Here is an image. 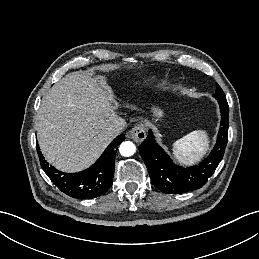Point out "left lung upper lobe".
<instances>
[{"instance_id":"obj_1","label":"left lung upper lobe","mask_w":259,"mask_h":259,"mask_svg":"<svg viewBox=\"0 0 259 259\" xmlns=\"http://www.w3.org/2000/svg\"><path fill=\"white\" fill-rule=\"evenodd\" d=\"M214 97L216 99L225 98L224 92L222 91V89L220 88V86L218 84L216 87V93L214 94Z\"/></svg>"}]
</instances>
